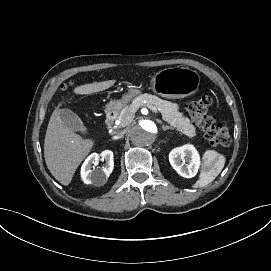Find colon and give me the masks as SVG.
<instances>
[{
    "label": "colon",
    "mask_w": 271,
    "mask_h": 271,
    "mask_svg": "<svg viewBox=\"0 0 271 271\" xmlns=\"http://www.w3.org/2000/svg\"><path fill=\"white\" fill-rule=\"evenodd\" d=\"M212 101L211 96L203 95L197 100L189 102L187 110L210 144L225 146L230 143L231 135L225 123L219 122L209 115L208 109Z\"/></svg>",
    "instance_id": "obj_1"
}]
</instances>
